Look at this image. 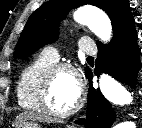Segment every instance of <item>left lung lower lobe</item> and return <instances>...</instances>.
<instances>
[{
    "label": "left lung lower lobe",
    "instance_id": "obj_1",
    "mask_svg": "<svg viewBox=\"0 0 142 128\" xmlns=\"http://www.w3.org/2000/svg\"><path fill=\"white\" fill-rule=\"evenodd\" d=\"M140 50L137 46V32L135 22L126 27L111 42L104 46L98 45V57L96 60L95 75L101 72L108 73L117 81L126 83L135 88L137 73L140 69ZM89 80L92 72L86 73ZM86 118L76 121L85 128H111L116 115L111 104L90 84L89 98L87 102Z\"/></svg>",
    "mask_w": 142,
    "mask_h": 128
}]
</instances>
